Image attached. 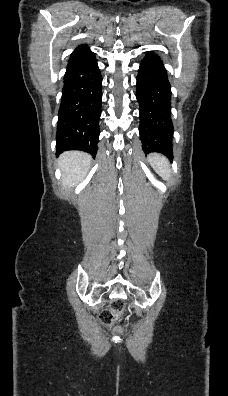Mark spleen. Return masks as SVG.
Returning <instances> with one entry per match:
<instances>
[{
    "label": "spleen",
    "mask_w": 228,
    "mask_h": 396,
    "mask_svg": "<svg viewBox=\"0 0 228 396\" xmlns=\"http://www.w3.org/2000/svg\"><path fill=\"white\" fill-rule=\"evenodd\" d=\"M148 161L163 180H170L171 170L169 167V162L164 156L154 153L148 156Z\"/></svg>",
    "instance_id": "3e777b00"
}]
</instances>
